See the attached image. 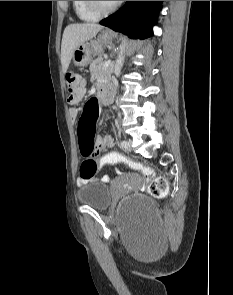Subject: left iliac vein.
Wrapping results in <instances>:
<instances>
[{"instance_id": "left-iliac-vein-1", "label": "left iliac vein", "mask_w": 233, "mask_h": 295, "mask_svg": "<svg viewBox=\"0 0 233 295\" xmlns=\"http://www.w3.org/2000/svg\"><path fill=\"white\" fill-rule=\"evenodd\" d=\"M121 146H122L125 150H127V151H131V140H128V139H127V145H122V144H121Z\"/></svg>"}]
</instances>
